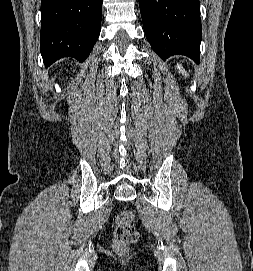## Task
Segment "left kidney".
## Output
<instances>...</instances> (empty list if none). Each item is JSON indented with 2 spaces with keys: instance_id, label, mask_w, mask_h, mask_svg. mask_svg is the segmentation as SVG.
<instances>
[{
  "instance_id": "5707ae66",
  "label": "left kidney",
  "mask_w": 253,
  "mask_h": 271,
  "mask_svg": "<svg viewBox=\"0 0 253 271\" xmlns=\"http://www.w3.org/2000/svg\"><path fill=\"white\" fill-rule=\"evenodd\" d=\"M176 67H177L179 73H181L185 77L188 75L187 72L185 71V69L182 67L181 64H177Z\"/></svg>"
}]
</instances>
